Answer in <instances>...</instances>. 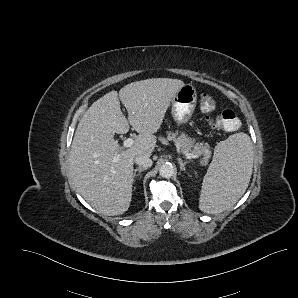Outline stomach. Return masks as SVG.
<instances>
[{"instance_id": "1", "label": "stomach", "mask_w": 298, "mask_h": 298, "mask_svg": "<svg viewBox=\"0 0 298 298\" xmlns=\"http://www.w3.org/2000/svg\"><path fill=\"white\" fill-rule=\"evenodd\" d=\"M197 105V90L191 84H185L172 99L171 115L177 126L188 123Z\"/></svg>"}]
</instances>
